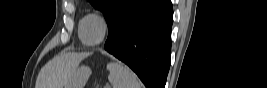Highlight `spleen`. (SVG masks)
<instances>
[{"mask_svg":"<svg viewBox=\"0 0 267 88\" xmlns=\"http://www.w3.org/2000/svg\"><path fill=\"white\" fill-rule=\"evenodd\" d=\"M109 71V81L113 88H142V84L136 74L126 65L120 62L107 64Z\"/></svg>","mask_w":267,"mask_h":88,"instance_id":"spleen-1","label":"spleen"}]
</instances>
